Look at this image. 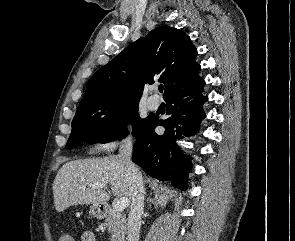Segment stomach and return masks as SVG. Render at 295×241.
Instances as JSON below:
<instances>
[{"instance_id": "obj_1", "label": "stomach", "mask_w": 295, "mask_h": 241, "mask_svg": "<svg viewBox=\"0 0 295 241\" xmlns=\"http://www.w3.org/2000/svg\"><path fill=\"white\" fill-rule=\"evenodd\" d=\"M89 215L96 218H103L105 215L104 207L102 204H93L90 207Z\"/></svg>"}]
</instances>
